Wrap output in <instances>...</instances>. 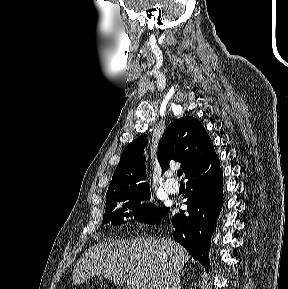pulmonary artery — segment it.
<instances>
[{"mask_svg":"<svg viewBox=\"0 0 288 289\" xmlns=\"http://www.w3.org/2000/svg\"><path fill=\"white\" fill-rule=\"evenodd\" d=\"M163 187H164L165 191L170 193V194H174V193L178 192V190H179V184L174 179H167L163 183Z\"/></svg>","mask_w":288,"mask_h":289,"instance_id":"obj_1","label":"pulmonary artery"}]
</instances>
